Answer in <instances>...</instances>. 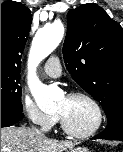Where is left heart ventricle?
<instances>
[{
    "instance_id": "left-heart-ventricle-1",
    "label": "left heart ventricle",
    "mask_w": 123,
    "mask_h": 152,
    "mask_svg": "<svg viewBox=\"0 0 123 152\" xmlns=\"http://www.w3.org/2000/svg\"><path fill=\"white\" fill-rule=\"evenodd\" d=\"M69 127L75 131L84 132L91 129L97 120V114L92 104L82 98L61 99L57 106Z\"/></svg>"
}]
</instances>
